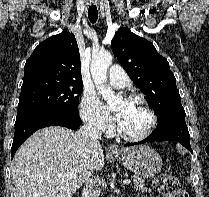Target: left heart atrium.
I'll return each instance as SVG.
<instances>
[{"label": "left heart atrium", "mask_w": 209, "mask_h": 197, "mask_svg": "<svg viewBox=\"0 0 209 197\" xmlns=\"http://www.w3.org/2000/svg\"><path fill=\"white\" fill-rule=\"evenodd\" d=\"M126 107H127V105H124L119 111L116 112V118H117V120H119L122 117V115H123L124 110L126 109Z\"/></svg>", "instance_id": "left-heart-atrium-1"}]
</instances>
